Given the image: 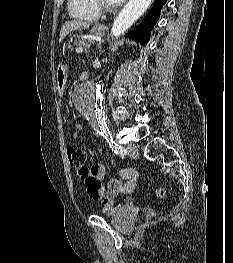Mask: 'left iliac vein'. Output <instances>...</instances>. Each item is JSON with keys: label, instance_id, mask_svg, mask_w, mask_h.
<instances>
[{"label": "left iliac vein", "instance_id": "1", "mask_svg": "<svg viewBox=\"0 0 233 263\" xmlns=\"http://www.w3.org/2000/svg\"><path fill=\"white\" fill-rule=\"evenodd\" d=\"M126 148H127V155L130 158L136 159L139 156V150L136 145L128 144Z\"/></svg>", "mask_w": 233, "mask_h": 263}]
</instances>
